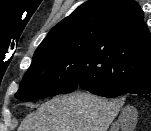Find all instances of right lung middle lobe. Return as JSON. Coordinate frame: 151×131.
Listing matches in <instances>:
<instances>
[{
    "label": "right lung middle lobe",
    "instance_id": "dd1d6c3e",
    "mask_svg": "<svg viewBox=\"0 0 151 131\" xmlns=\"http://www.w3.org/2000/svg\"><path fill=\"white\" fill-rule=\"evenodd\" d=\"M89 81L106 84L94 58L76 43L63 42L44 49L37 48L15 97L36 100L70 93L79 88V82Z\"/></svg>",
    "mask_w": 151,
    "mask_h": 131
}]
</instances>
